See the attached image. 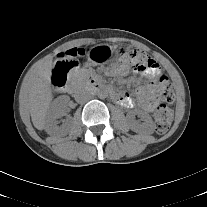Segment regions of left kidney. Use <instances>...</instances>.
Returning <instances> with one entry per match:
<instances>
[{
    "label": "left kidney",
    "instance_id": "left-kidney-1",
    "mask_svg": "<svg viewBox=\"0 0 207 207\" xmlns=\"http://www.w3.org/2000/svg\"><path fill=\"white\" fill-rule=\"evenodd\" d=\"M137 114L140 116L143 123H138L133 119V115ZM127 118L129 120V125L131 130H133L136 133L144 134V135H150L155 130V124L151 118V116L142 111V110H136L132 111L127 115Z\"/></svg>",
    "mask_w": 207,
    "mask_h": 207
}]
</instances>
